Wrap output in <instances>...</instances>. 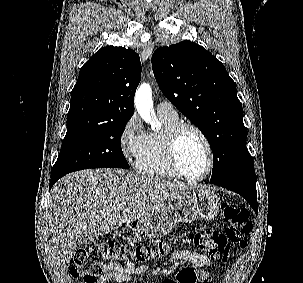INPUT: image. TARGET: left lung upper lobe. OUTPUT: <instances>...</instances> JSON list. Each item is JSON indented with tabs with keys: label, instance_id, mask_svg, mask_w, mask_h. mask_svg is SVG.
<instances>
[{
	"label": "left lung upper lobe",
	"instance_id": "left-lung-upper-lobe-1",
	"mask_svg": "<svg viewBox=\"0 0 303 283\" xmlns=\"http://www.w3.org/2000/svg\"><path fill=\"white\" fill-rule=\"evenodd\" d=\"M152 69L160 90L206 136L213 152L211 183L255 180L235 82L204 47L182 41L158 48Z\"/></svg>",
	"mask_w": 303,
	"mask_h": 283
}]
</instances>
